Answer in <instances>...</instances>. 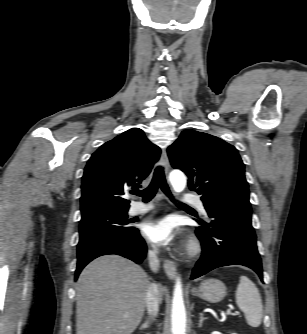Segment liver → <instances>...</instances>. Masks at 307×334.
I'll list each match as a JSON object with an SVG mask.
<instances>
[{"label":"liver","mask_w":307,"mask_h":334,"mask_svg":"<svg viewBox=\"0 0 307 334\" xmlns=\"http://www.w3.org/2000/svg\"><path fill=\"white\" fill-rule=\"evenodd\" d=\"M150 278L134 262L104 255L90 262L76 284V334H131L144 314ZM162 301L164 287L159 285Z\"/></svg>","instance_id":"liver-1"}]
</instances>
